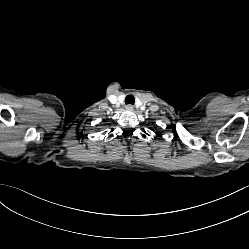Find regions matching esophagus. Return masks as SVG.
Returning <instances> with one entry per match:
<instances>
[{
	"mask_svg": "<svg viewBox=\"0 0 249 249\" xmlns=\"http://www.w3.org/2000/svg\"><path fill=\"white\" fill-rule=\"evenodd\" d=\"M125 108H126V110H127V111H133L134 106H133V105L128 104V105H126V106H125Z\"/></svg>",
	"mask_w": 249,
	"mask_h": 249,
	"instance_id": "34e87169",
	"label": "esophagus"
}]
</instances>
